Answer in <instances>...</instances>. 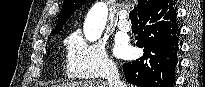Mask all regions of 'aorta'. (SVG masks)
I'll return each instance as SVG.
<instances>
[{
  "label": "aorta",
  "instance_id": "762f6f07",
  "mask_svg": "<svg viewBox=\"0 0 205 87\" xmlns=\"http://www.w3.org/2000/svg\"><path fill=\"white\" fill-rule=\"evenodd\" d=\"M108 7L104 2H97L89 10L84 22V36L87 41H97L106 26Z\"/></svg>",
  "mask_w": 205,
  "mask_h": 87
}]
</instances>
